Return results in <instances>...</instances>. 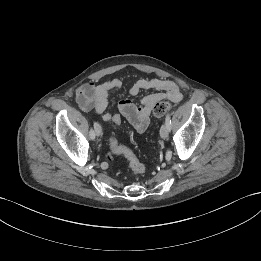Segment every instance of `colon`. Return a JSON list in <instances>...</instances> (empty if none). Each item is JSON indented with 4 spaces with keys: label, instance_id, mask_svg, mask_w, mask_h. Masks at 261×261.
<instances>
[{
    "label": "colon",
    "instance_id": "5ec220e1",
    "mask_svg": "<svg viewBox=\"0 0 261 261\" xmlns=\"http://www.w3.org/2000/svg\"><path fill=\"white\" fill-rule=\"evenodd\" d=\"M172 108V104L167 101L159 102L154 105L152 113L156 118L162 117L167 111ZM118 125L121 122V118L115 117L112 121ZM110 153L114 155H123L128 161L130 169L135 174H142L145 171L144 165L140 162L138 157L133 151L125 146L120 145L114 137L108 139Z\"/></svg>",
    "mask_w": 261,
    "mask_h": 261
}]
</instances>
